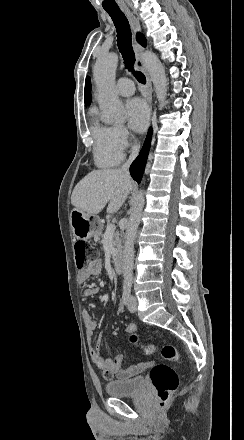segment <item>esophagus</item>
I'll use <instances>...</instances> for the list:
<instances>
[{
  "label": "esophagus",
  "instance_id": "1",
  "mask_svg": "<svg viewBox=\"0 0 244 440\" xmlns=\"http://www.w3.org/2000/svg\"><path fill=\"white\" fill-rule=\"evenodd\" d=\"M123 12L126 14V17L129 20V23L131 25V29L134 33V36L136 35L137 32L141 31V26L139 21L137 20V18L135 17V15L131 12V10L128 7H123L122 8ZM133 49L135 52V56H136V62H137V67L140 68V70L144 73L145 77H146V94L145 97L148 99L150 105L152 104V93H153V89H152V81L150 78L149 73L147 72V69L145 67L144 64V50L141 47V45H139L136 41H134L133 44Z\"/></svg>",
  "mask_w": 244,
  "mask_h": 440
}]
</instances>
